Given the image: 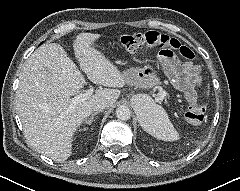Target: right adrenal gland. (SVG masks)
I'll return each instance as SVG.
<instances>
[{"label": "right adrenal gland", "instance_id": "obj_1", "mask_svg": "<svg viewBox=\"0 0 240 191\" xmlns=\"http://www.w3.org/2000/svg\"><path fill=\"white\" fill-rule=\"evenodd\" d=\"M99 112H93L89 118L85 120L86 124L91 125L92 122L94 121V117L98 114ZM86 129V128H85Z\"/></svg>", "mask_w": 240, "mask_h": 191}]
</instances>
